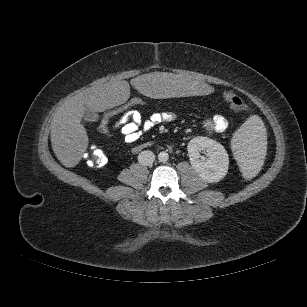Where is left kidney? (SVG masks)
<instances>
[{
    "label": "left kidney",
    "instance_id": "obj_1",
    "mask_svg": "<svg viewBox=\"0 0 307 307\" xmlns=\"http://www.w3.org/2000/svg\"><path fill=\"white\" fill-rule=\"evenodd\" d=\"M187 150L192 167L207 182H218L227 174L229 157L220 143L198 136L190 140ZM202 151L206 152L207 158L200 155Z\"/></svg>",
    "mask_w": 307,
    "mask_h": 307
}]
</instances>
